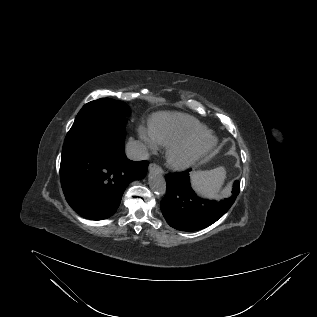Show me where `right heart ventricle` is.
<instances>
[{"mask_svg": "<svg viewBox=\"0 0 317 317\" xmlns=\"http://www.w3.org/2000/svg\"><path fill=\"white\" fill-rule=\"evenodd\" d=\"M149 127L158 145L162 147H170L185 137L206 131L205 125L194 117L175 112L152 115Z\"/></svg>", "mask_w": 317, "mask_h": 317, "instance_id": "e07e8e85", "label": "right heart ventricle"}]
</instances>
